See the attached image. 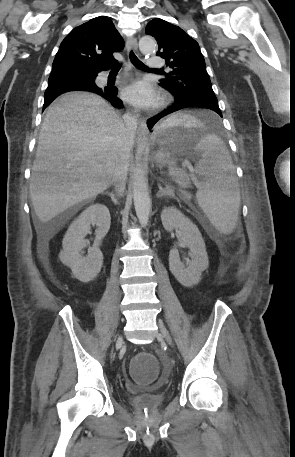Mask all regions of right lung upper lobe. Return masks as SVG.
<instances>
[{
  "label": "right lung upper lobe",
  "instance_id": "1",
  "mask_svg": "<svg viewBox=\"0 0 295 457\" xmlns=\"http://www.w3.org/2000/svg\"><path fill=\"white\" fill-rule=\"evenodd\" d=\"M123 47L124 41L110 19L93 18L75 27L64 38L53 61L49 80L94 76L116 62L112 54Z\"/></svg>",
  "mask_w": 295,
  "mask_h": 457
}]
</instances>
